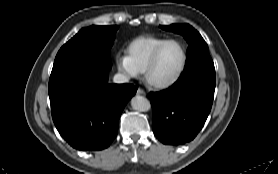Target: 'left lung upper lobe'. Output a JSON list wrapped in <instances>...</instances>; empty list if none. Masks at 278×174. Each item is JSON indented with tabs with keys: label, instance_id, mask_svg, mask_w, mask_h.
Masks as SVG:
<instances>
[{
	"label": "left lung upper lobe",
	"instance_id": "1",
	"mask_svg": "<svg viewBox=\"0 0 278 174\" xmlns=\"http://www.w3.org/2000/svg\"><path fill=\"white\" fill-rule=\"evenodd\" d=\"M160 27L183 35L189 44L187 65L180 77H187L197 73H207L215 76L214 63L209 55L208 45L199 32L188 24H172Z\"/></svg>",
	"mask_w": 278,
	"mask_h": 174
}]
</instances>
